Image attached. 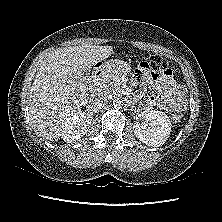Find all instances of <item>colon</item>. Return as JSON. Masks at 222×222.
I'll return each instance as SVG.
<instances>
[{"mask_svg":"<svg viewBox=\"0 0 222 222\" xmlns=\"http://www.w3.org/2000/svg\"><path fill=\"white\" fill-rule=\"evenodd\" d=\"M168 70V66L165 63L164 59L158 54H152L149 56L146 62H142L137 68L136 72L139 74L147 73V72H157L160 71L164 73ZM182 115L180 112H174L171 116L173 122L177 123L181 120Z\"/></svg>","mask_w":222,"mask_h":222,"instance_id":"colon-1","label":"colon"}]
</instances>
